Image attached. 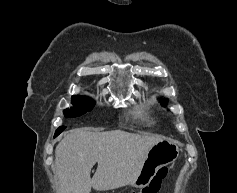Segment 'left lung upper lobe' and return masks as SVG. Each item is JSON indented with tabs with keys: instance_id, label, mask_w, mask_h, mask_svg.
<instances>
[{
	"instance_id": "5c2ea615",
	"label": "left lung upper lobe",
	"mask_w": 237,
	"mask_h": 193,
	"mask_svg": "<svg viewBox=\"0 0 237 193\" xmlns=\"http://www.w3.org/2000/svg\"><path fill=\"white\" fill-rule=\"evenodd\" d=\"M161 104H162V105H166V104H167V99H162V100H161Z\"/></svg>"
}]
</instances>
